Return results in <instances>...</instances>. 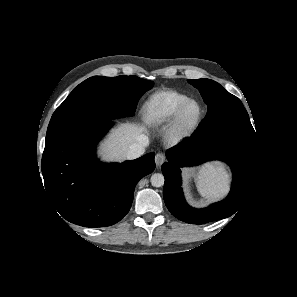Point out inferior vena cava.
<instances>
[{
	"label": "inferior vena cava",
	"instance_id": "obj_1",
	"mask_svg": "<svg viewBox=\"0 0 297 297\" xmlns=\"http://www.w3.org/2000/svg\"><path fill=\"white\" fill-rule=\"evenodd\" d=\"M138 142L133 143L130 145L127 151V158L128 159H135L140 157L145 152V146L148 145L149 139L146 135L141 134L137 138Z\"/></svg>",
	"mask_w": 297,
	"mask_h": 297
}]
</instances>
